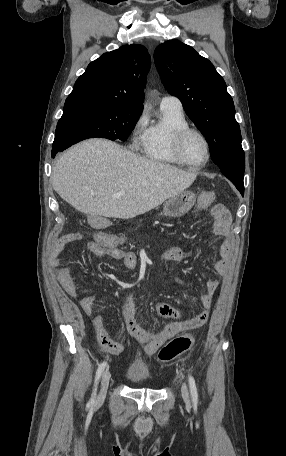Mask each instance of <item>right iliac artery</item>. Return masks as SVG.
Masks as SVG:
<instances>
[{
    "instance_id": "82829eb1",
    "label": "right iliac artery",
    "mask_w": 286,
    "mask_h": 456,
    "mask_svg": "<svg viewBox=\"0 0 286 456\" xmlns=\"http://www.w3.org/2000/svg\"><path fill=\"white\" fill-rule=\"evenodd\" d=\"M106 366H107V362L104 361V362H102V363L99 365V367H98V369H97V371H96V376H95V388H94V390H93L91 399H90V401H89V403H88L89 406H93V405H94L95 397H96L97 384H98V381H99V379H100V377H101V375H102V373H103V371H104V369H105Z\"/></svg>"
}]
</instances>
